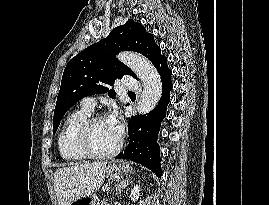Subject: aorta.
<instances>
[{
  "label": "aorta",
  "instance_id": "762f6f07",
  "mask_svg": "<svg viewBox=\"0 0 269 205\" xmlns=\"http://www.w3.org/2000/svg\"><path fill=\"white\" fill-rule=\"evenodd\" d=\"M118 59L127 65L143 83V92L137 102L136 111L140 115L151 112L162 95V82L157 69L144 56L133 52H121Z\"/></svg>",
  "mask_w": 269,
  "mask_h": 205
}]
</instances>
